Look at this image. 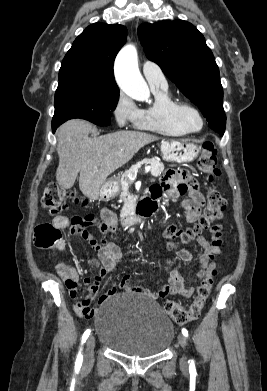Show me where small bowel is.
<instances>
[{
  "mask_svg": "<svg viewBox=\"0 0 267 391\" xmlns=\"http://www.w3.org/2000/svg\"><path fill=\"white\" fill-rule=\"evenodd\" d=\"M150 192L154 201H157L162 197L176 198L186 195V198L183 199L181 203L182 208L185 210L186 221L188 223H194L200 218L205 199L200 192L196 181L185 170L168 169L160 182L151 187ZM152 204L155 206V203ZM100 216L108 228L115 229L117 227V215L112 210L105 208L101 211ZM91 222L92 220L87 217L61 216L54 220V226L57 229L71 231L84 239H89L90 235L87 231V227ZM182 232L183 231L178 229L177 226L169 225L165 229L164 235L165 237L172 239L180 237ZM197 243L203 252L198 257L199 271L196 275L192 276L191 279L193 284L197 283L199 279L209 277L214 270V259L221 254L223 248L222 226L216 225L214 227L211 239L209 240L203 236H199L197 238ZM56 248L63 252L66 248L65 241L61 239L57 243ZM97 250L98 258L94 260L92 264L98 268V272L96 275L84 279L88 293L86 296L79 299L75 305L77 314L83 317H92L94 315L96 309L92 306V300L98 294L99 284L104 276L113 273L116 270L117 264L122 257L121 249L113 243ZM176 254L178 258L185 263H189L193 260L192 254L186 249H180ZM169 262L170 261H168V263ZM56 271L64 281L70 295L73 298H76L78 295V282L80 280L78 271L75 268L66 265L64 262H59L56 265ZM117 286L128 292L141 293L154 301L166 298L169 295L189 297L193 291L192 287L186 283L183 274L178 270H173L170 273L167 283L159 291L155 292L141 287H133L130 283L129 275L125 274L118 284H111L107 293L100 297L99 302H104L111 295L116 293Z\"/></svg>",
  "mask_w": 267,
  "mask_h": 391,
  "instance_id": "small-bowel-1",
  "label": "small bowel"
}]
</instances>
